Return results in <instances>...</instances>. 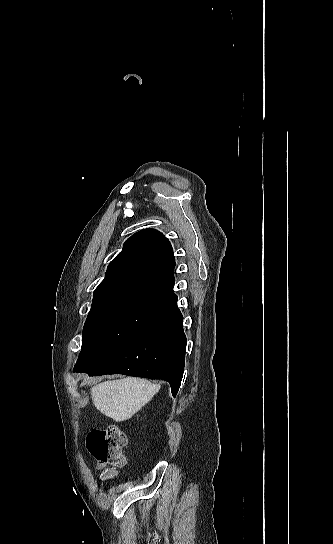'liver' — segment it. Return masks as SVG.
<instances>
[{
  "instance_id": "liver-1",
  "label": "liver",
  "mask_w": 333,
  "mask_h": 544,
  "mask_svg": "<svg viewBox=\"0 0 333 544\" xmlns=\"http://www.w3.org/2000/svg\"><path fill=\"white\" fill-rule=\"evenodd\" d=\"M160 386L140 378L100 383L91 389L94 406L116 422L130 419L159 391Z\"/></svg>"
}]
</instances>
